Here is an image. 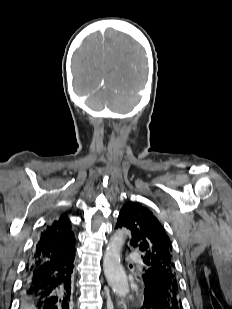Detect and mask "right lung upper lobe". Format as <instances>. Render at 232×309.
<instances>
[{"instance_id":"1","label":"right lung upper lobe","mask_w":232,"mask_h":309,"mask_svg":"<svg viewBox=\"0 0 232 309\" xmlns=\"http://www.w3.org/2000/svg\"><path fill=\"white\" fill-rule=\"evenodd\" d=\"M75 254V237L68 217L63 214L47 225L33 248L31 260L41 263L54 258H69Z\"/></svg>"}]
</instances>
